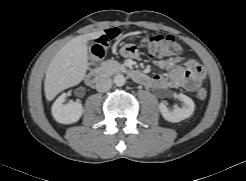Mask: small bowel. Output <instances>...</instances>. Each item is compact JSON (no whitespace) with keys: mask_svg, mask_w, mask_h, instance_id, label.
I'll use <instances>...</instances> for the list:
<instances>
[{"mask_svg":"<svg viewBox=\"0 0 246 181\" xmlns=\"http://www.w3.org/2000/svg\"><path fill=\"white\" fill-rule=\"evenodd\" d=\"M120 53L125 58H138L139 52L133 45H124ZM193 61L184 62V58L180 55L172 56L157 62L158 66L168 70L167 74H157L148 77L145 85L167 89V88H184L186 90H194L204 79V72L200 74L194 73L190 69Z\"/></svg>","mask_w":246,"mask_h":181,"instance_id":"obj_1","label":"small bowel"}]
</instances>
